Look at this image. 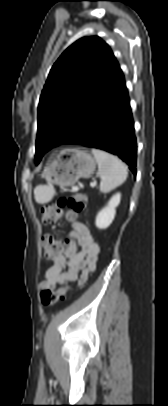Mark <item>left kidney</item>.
Segmentation results:
<instances>
[{"label":"left kidney","mask_w":168,"mask_h":406,"mask_svg":"<svg viewBox=\"0 0 168 406\" xmlns=\"http://www.w3.org/2000/svg\"><path fill=\"white\" fill-rule=\"evenodd\" d=\"M121 200V194L117 193L109 200L107 206H105L96 216L95 224L99 229H106L113 222L116 207Z\"/></svg>","instance_id":"obj_1"}]
</instances>
